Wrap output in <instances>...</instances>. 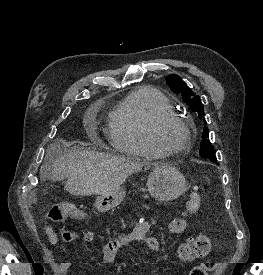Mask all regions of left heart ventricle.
<instances>
[{
  "instance_id": "obj_1",
  "label": "left heart ventricle",
  "mask_w": 263,
  "mask_h": 275,
  "mask_svg": "<svg viewBox=\"0 0 263 275\" xmlns=\"http://www.w3.org/2000/svg\"><path fill=\"white\" fill-rule=\"evenodd\" d=\"M185 137L184 129L177 123H168L158 132L161 143L168 147L179 145Z\"/></svg>"
}]
</instances>
